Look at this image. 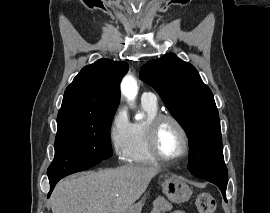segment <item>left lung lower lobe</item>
<instances>
[{"mask_svg":"<svg viewBox=\"0 0 270 213\" xmlns=\"http://www.w3.org/2000/svg\"><path fill=\"white\" fill-rule=\"evenodd\" d=\"M188 169L189 171L191 172L192 175L198 177V178H201L200 174L198 173V167L196 166V164L193 162V161H189L188 163ZM203 179V178H202ZM217 185V184H216ZM219 187V189L221 190L222 194H223V197L226 201V198H225V193H226V187L227 186H221V185H217Z\"/></svg>","mask_w":270,"mask_h":213,"instance_id":"0a47b994","label":"left lung lower lobe"}]
</instances>
